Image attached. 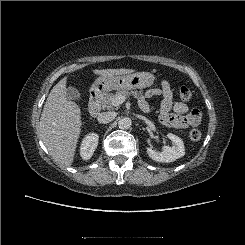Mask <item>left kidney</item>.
Returning a JSON list of instances; mask_svg holds the SVG:
<instances>
[{"label": "left kidney", "mask_w": 245, "mask_h": 245, "mask_svg": "<svg viewBox=\"0 0 245 245\" xmlns=\"http://www.w3.org/2000/svg\"><path fill=\"white\" fill-rule=\"evenodd\" d=\"M167 137L172 141V146H165L162 151H156L152 148H147L149 157L162 163L173 162L185 155V148L182 139L172 133H168Z\"/></svg>", "instance_id": "1"}]
</instances>
